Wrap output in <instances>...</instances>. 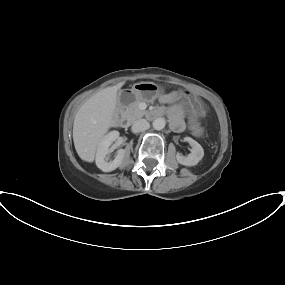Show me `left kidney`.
Wrapping results in <instances>:
<instances>
[{
  "label": "left kidney",
  "instance_id": "left-kidney-1",
  "mask_svg": "<svg viewBox=\"0 0 285 285\" xmlns=\"http://www.w3.org/2000/svg\"><path fill=\"white\" fill-rule=\"evenodd\" d=\"M184 141L188 142L190 146L192 147L191 153L185 157L180 154L176 155L177 161L185 166H194L197 165L198 162L203 158L204 156V150L202 146L195 141L194 139L190 137H185Z\"/></svg>",
  "mask_w": 285,
  "mask_h": 285
}]
</instances>
